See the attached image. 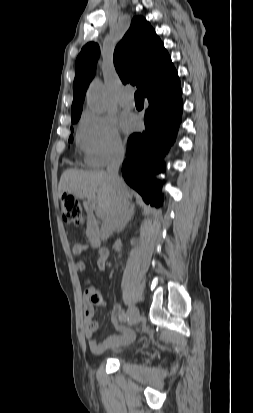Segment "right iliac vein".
<instances>
[{
    "mask_svg": "<svg viewBox=\"0 0 253 413\" xmlns=\"http://www.w3.org/2000/svg\"><path fill=\"white\" fill-rule=\"evenodd\" d=\"M139 311L136 307H130L128 310V324H136L139 320Z\"/></svg>",
    "mask_w": 253,
    "mask_h": 413,
    "instance_id": "obj_1",
    "label": "right iliac vein"
}]
</instances>
